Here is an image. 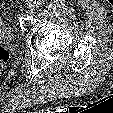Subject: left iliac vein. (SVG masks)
<instances>
[{
	"instance_id": "4c4485c4",
	"label": "left iliac vein",
	"mask_w": 113,
	"mask_h": 113,
	"mask_svg": "<svg viewBox=\"0 0 113 113\" xmlns=\"http://www.w3.org/2000/svg\"><path fill=\"white\" fill-rule=\"evenodd\" d=\"M34 11H35V5L30 4V5L28 6V8H27V12H28L29 14H32V13H34Z\"/></svg>"
}]
</instances>
